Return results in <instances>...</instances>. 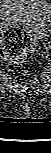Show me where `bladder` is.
<instances>
[{
  "label": "bladder",
  "mask_w": 51,
  "mask_h": 153,
  "mask_svg": "<svg viewBox=\"0 0 51 153\" xmlns=\"http://www.w3.org/2000/svg\"><path fill=\"white\" fill-rule=\"evenodd\" d=\"M0 10L5 15H20L23 18L38 17L46 20L51 16L47 0H0Z\"/></svg>",
  "instance_id": "31cf9c89"
}]
</instances>
